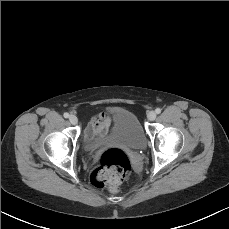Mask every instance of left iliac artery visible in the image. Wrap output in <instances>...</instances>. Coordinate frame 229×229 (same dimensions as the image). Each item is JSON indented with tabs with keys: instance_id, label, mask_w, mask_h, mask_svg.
I'll list each match as a JSON object with an SVG mask.
<instances>
[{
	"instance_id": "44dca946",
	"label": "left iliac artery",
	"mask_w": 229,
	"mask_h": 229,
	"mask_svg": "<svg viewBox=\"0 0 229 229\" xmlns=\"http://www.w3.org/2000/svg\"><path fill=\"white\" fill-rule=\"evenodd\" d=\"M155 112H156L157 114H159V113H161V109H160V108H157V109L155 110Z\"/></svg>"
}]
</instances>
